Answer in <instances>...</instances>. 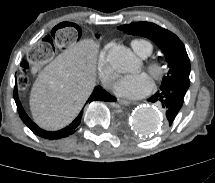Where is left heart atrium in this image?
Returning <instances> with one entry per match:
<instances>
[{
  "instance_id": "left-heart-atrium-1",
  "label": "left heart atrium",
  "mask_w": 215,
  "mask_h": 183,
  "mask_svg": "<svg viewBox=\"0 0 215 183\" xmlns=\"http://www.w3.org/2000/svg\"><path fill=\"white\" fill-rule=\"evenodd\" d=\"M152 89V81L146 73L122 76L115 84L116 94L126 98H140Z\"/></svg>"
}]
</instances>
